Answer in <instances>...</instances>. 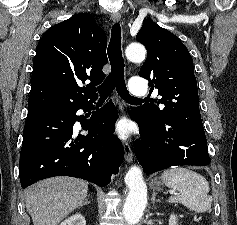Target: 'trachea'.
<instances>
[{
	"mask_svg": "<svg viewBox=\"0 0 237 225\" xmlns=\"http://www.w3.org/2000/svg\"><path fill=\"white\" fill-rule=\"evenodd\" d=\"M111 39L108 45V57L111 64V73L98 88L100 99H106L114 88L118 94L128 101H144L130 96L124 81V60L121 50V27L116 23L111 30Z\"/></svg>",
	"mask_w": 237,
	"mask_h": 225,
	"instance_id": "3493384b",
	"label": "trachea"
}]
</instances>
